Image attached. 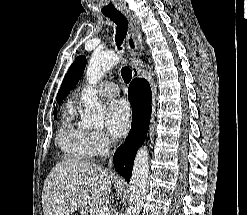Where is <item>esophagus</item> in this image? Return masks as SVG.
<instances>
[{"instance_id":"esophagus-1","label":"esophagus","mask_w":247,"mask_h":215,"mask_svg":"<svg viewBox=\"0 0 247 215\" xmlns=\"http://www.w3.org/2000/svg\"><path fill=\"white\" fill-rule=\"evenodd\" d=\"M122 13L127 17L129 22L128 34L126 38V45L130 55L136 59V57L141 56L142 54V43L138 39V33L140 30L139 22L136 16L127 8L122 9ZM140 59L133 61L131 63L132 75L133 78H140L141 73L139 70ZM110 167L112 166V162L109 163Z\"/></svg>"}]
</instances>
